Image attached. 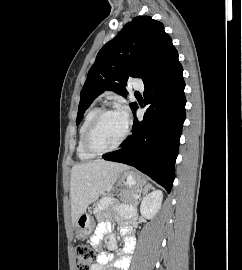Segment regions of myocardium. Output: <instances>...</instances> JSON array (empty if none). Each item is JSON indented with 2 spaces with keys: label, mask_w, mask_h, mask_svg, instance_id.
Here are the masks:
<instances>
[{
  "label": "myocardium",
  "mask_w": 242,
  "mask_h": 270,
  "mask_svg": "<svg viewBox=\"0 0 242 270\" xmlns=\"http://www.w3.org/2000/svg\"><path fill=\"white\" fill-rule=\"evenodd\" d=\"M117 112H119V110H117L115 108H105V109L99 110V112L94 116V118L89 123V125L85 131L84 138H83V147H84L86 152H88L89 154H91L93 156L104 155V154H107V153H110V152H113V151L119 149L121 147V145L126 141V139L129 136V133H130V127H129L128 123H126V128H125L123 136L114 146L107 148V149H96L91 144L92 134H93L96 126L100 122V120L107 114L117 113Z\"/></svg>",
  "instance_id": "myocardium-1"
}]
</instances>
